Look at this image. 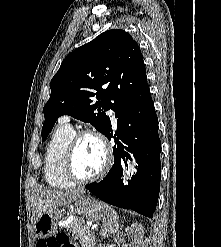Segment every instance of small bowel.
Returning a JSON list of instances; mask_svg holds the SVG:
<instances>
[{"mask_svg": "<svg viewBox=\"0 0 221 247\" xmlns=\"http://www.w3.org/2000/svg\"><path fill=\"white\" fill-rule=\"evenodd\" d=\"M45 242V240H39L38 242H37V244H36V247H39V244L40 243H44ZM67 247H76V246H74V245H67Z\"/></svg>", "mask_w": 221, "mask_h": 247, "instance_id": "1", "label": "small bowel"}]
</instances>
